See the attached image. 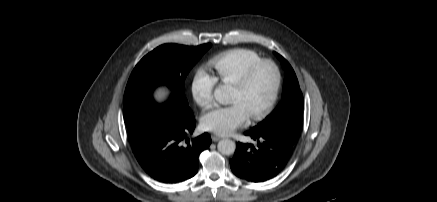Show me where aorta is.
Returning <instances> with one entry per match:
<instances>
[{"label": "aorta", "instance_id": "aorta-1", "mask_svg": "<svg viewBox=\"0 0 437 202\" xmlns=\"http://www.w3.org/2000/svg\"><path fill=\"white\" fill-rule=\"evenodd\" d=\"M231 88L226 85H220L214 90L215 99L222 104L230 101ZM236 144L230 139H223L218 142V150L223 155H231L235 152Z\"/></svg>", "mask_w": 437, "mask_h": 202}]
</instances>
